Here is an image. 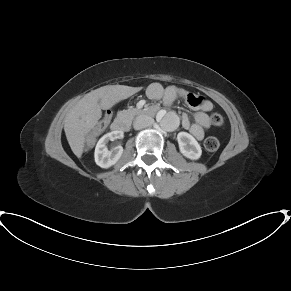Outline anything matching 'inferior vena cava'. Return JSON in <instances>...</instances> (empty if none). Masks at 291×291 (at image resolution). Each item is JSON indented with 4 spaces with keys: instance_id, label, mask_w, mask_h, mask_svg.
I'll list each match as a JSON object with an SVG mask.
<instances>
[{
    "instance_id": "1",
    "label": "inferior vena cava",
    "mask_w": 291,
    "mask_h": 291,
    "mask_svg": "<svg viewBox=\"0 0 291 291\" xmlns=\"http://www.w3.org/2000/svg\"><path fill=\"white\" fill-rule=\"evenodd\" d=\"M153 122L154 120L150 116L140 115L136 117V119L134 120L133 127L136 130H140V129L150 126Z\"/></svg>"
}]
</instances>
